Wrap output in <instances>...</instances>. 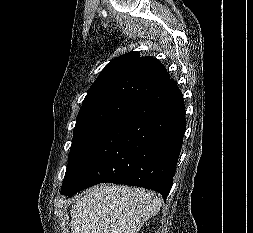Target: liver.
I'll list each match as a JSON object with an SVG mask.
<instances>
[{
  "instance_id": "1",
  "label": "liver",
  "mask_w": 253,
  "mask_h": 233,
  "mask_svg": "<svg viewBox=\"0 0 253 233\" xmlns=\"http://www.w3.org/2000/svg\"><path fill=\"white\" fill-rule=\"evenodd\" d=\"M162 200L152 192L122 185L87 190L70 209L72 233H138L157 214Z\"/></svg>"
}]
</instances>
